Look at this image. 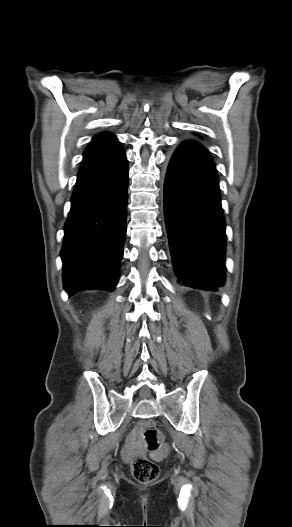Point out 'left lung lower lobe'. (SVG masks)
<instances>
[{"label":"left lung lower lobe","instance_id":"0a47b994","mask_svg":"<svg viewBox=\"0 0 292 527\" xmlns=\"http://www.w3.org/2000/svg\"><path fill=\"white\" fill-rule=\"evenodd\" d=\"M217 170L207 150L192 141L174 152L164 183V214L180 281L216 290L224 282L225 220Z\"/></svg>","mask_w":292,"mask_h":527}]
</instances>
